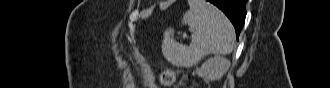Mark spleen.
<instances>
[{
    "label": "spleen",
    "mask_w": 330,
    "mask_h": 88,
    "mask_svg": "<svg viewBox=\"0 0 330 88\" xmlns=\"http://www.w3.org/2000/svg\"><path fill=\"white\" fill-rule=\"evenodd\" d=\"M190 9L185 12L182 24L194 32L190 46L174 40V30H165L162 41L164 57L178 67H191L204 56L227 55L232 52L235 31L228 18L214 5L205 0H188Z\"/></svg>",
    "instance_id": "spleen-1"
}]
</instances>
